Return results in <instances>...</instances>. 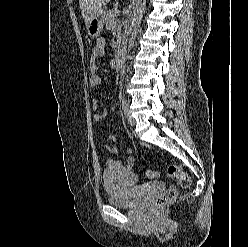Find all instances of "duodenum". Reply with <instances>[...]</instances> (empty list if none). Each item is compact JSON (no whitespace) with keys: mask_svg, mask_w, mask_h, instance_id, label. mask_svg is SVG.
I'll use <instances>...</instances> for the list:
<instances>
[{"mask_svg":"<svg viewBox=\"0 0 248 247\" xmlns=\"http://www.w3.org/2000/svg\"><path fill=\"white\" fill-rule=\"evenodd\" d=\"M126 60V52L125 50H120L117 54V63L119 66H122Z\"/></svg>","mask_w":248,"mask_h":247,"instance_id":"410a0bca","label":"duodenum"}]
</instances>
